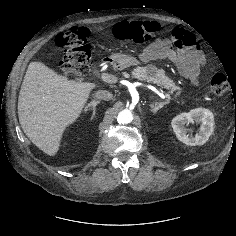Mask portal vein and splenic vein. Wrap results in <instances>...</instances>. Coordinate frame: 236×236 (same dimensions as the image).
Here are the masks:
<instances>
[{
	"instance_id": "obj_1",
	"label": "portal vein and splenic vein",
	"mask_w": 236,
	"mask_h": 236,
	"mask_svg": "<svg viewBox=\"0 0 236 236\" xmlns=\"http://www.w3.org/2000/svg\"><path fill=\"white\" fill-rule=\"evenodd\" d=\"M101 78L103 81L107 82V83H116L117 82V77L111 74H108L106 72L101 74ZM167 99L170 100V96L169 94H165L164 95Z\"/></svg>"
}]
</instances>
